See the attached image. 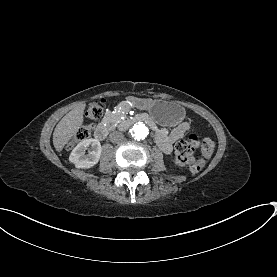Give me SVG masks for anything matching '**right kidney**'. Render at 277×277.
Segmentation results:
<instances>
[{
    "label": "right kidney",
    "mask_w": 277,
    "mask_h": 277,
    "mask_svg": "<svg viewBox=\"0 0 277 277\" xmlns=\"http://www.w3.org/2000/svg\"><path fill=\"white\" fill-rule=\"evenodd\" d=\"M101 155L102 147L98 140L84 139L70 153L69 163L76 169H90L97 165Z\"/></svg>",
    "instance_id": "ca27d5eb"
}]
</instances>
